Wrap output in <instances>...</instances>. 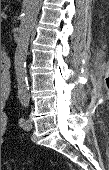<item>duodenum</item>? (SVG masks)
<instances>
[{"mask_svg":"<svg viewBox=\"0 0 109 170\" xmlns=\"http://www.w3.org/2000/svg\"><path fill=\"white\" fill-rule=\"evenodd\" d=\"M1 62H2V68L5 72L7 66H8V57L5 55L2 57L1 59ZM9 85V81L7 79L4 80V83H3V88L6 89Z\"/></svg>","mask_w":109,"mask_h":170,"instance_id":"410a0bca","label":"duodenum"}]
</instances>
